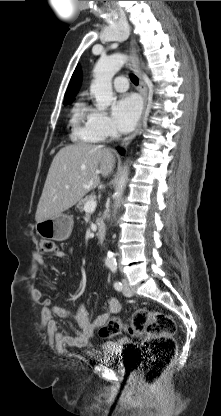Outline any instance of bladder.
I'll use <instances>...</instances> for the list:
<instances>
[{"instance_id": "obj_1", "label": "bladder", "mask_w": 221, "mask_h": 416, "mask_svg": "<svg viewBox=\"0 0 221 416\" xmlns=\"http://www.w3.org/2000/svg\"><path fill=\"white\" fill-rule=\"evenodd\" d=\"M114 353L109 351V349L106 346H103V352L101 357V362L105 365H112L115 366L117 369H123L125 366L123 365H115L114 364Z\"/></svg>"}]
</instances>
